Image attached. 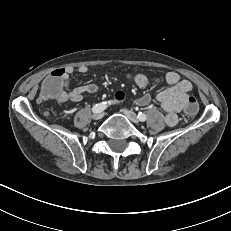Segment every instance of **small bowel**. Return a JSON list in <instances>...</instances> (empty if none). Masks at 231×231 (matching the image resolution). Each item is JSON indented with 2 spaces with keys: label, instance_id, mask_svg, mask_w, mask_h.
I'll use <instances>...</instances> for the list:
<instances>
[{
  "label": "small bowel",
  "instance_id": "obj_1",
  "mask_svg": "<svg viewBox=\"0 0 231 231\" xmlns=\"http://www.w3.org/2000/svg\"><path fill=\"white\" fill-rule=\"evenodd\" d=\"M64 72V77L59 83L60 97L56 100L60 103L64 102H80L85 95L96 93L99 89L97 84L91 83L74 89H69L70 75L74 72L85 74L88 72L87 66H78L77 68L67 66L60 68ZM135 84L140 88H145L149 84V79L144 74H136L134 77ZM161 83H166L169 87L161 90L156 95V101L159 103L163 111L166 112L165 123L168 127H174L178 122L177 114L183 112L182 105L187 96H191L190 92L193 88L192 83L188 80L181 79L179 74L169 71L158 78ZM117 99V98H116ZM119 100V99H118ZM151 102V96L145 94L135 100L138 106H146Z\"/></svg>",
  "mask_w": 231,
  "mask_h": 231
}]
</instances>
